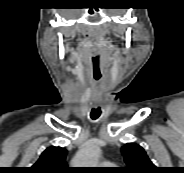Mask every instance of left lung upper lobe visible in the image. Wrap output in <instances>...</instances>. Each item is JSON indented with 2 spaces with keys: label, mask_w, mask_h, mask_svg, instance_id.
I'll list each match as a JSON object with an SVG mask.
<instances>
[{
  "label": "left lung upper lobe",
  "mask_w": 184,
  "mask_h": 173,
  "mask_svg": "<svg viewBox=\"0 0 184 173\" xmlns=\"http://www.w3.org/2000/svg\"><path fill=\"white\" fill-rule=\"evenodd\" d=\"M127 167L123 168L124 173H155L156 167L149 160L144 149L135 143H127L122 147Z\"/></svg>",
  "instance_id": "1"
}]
</instances>
